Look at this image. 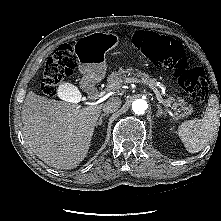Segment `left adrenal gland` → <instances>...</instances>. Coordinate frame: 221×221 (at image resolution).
Returning a JSON list of instances; mask_svg holds the SVG:
<instances>
[{
	"instance_id": "left-adrenal-gland-1",
	"label": "left adrenal gland",
	"mask_w": 221,
	"mask_h": 221,
	"mask_svg": "<svg viewBox=\"0 0 221 221\" xmlns=\"http://www.w3.org/2000/svg\"><path fill=\"white\" fill-rule=\"evenodd\" d=\"M157 108H158L157 117L164 115V112L159 104H157Z\"/></svg>"
}]
</instances>
